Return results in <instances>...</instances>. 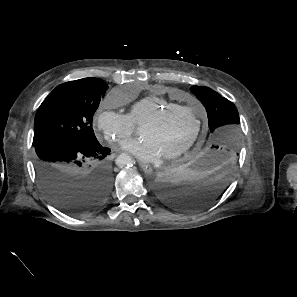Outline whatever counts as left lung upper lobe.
<instances>
[{
	"label": "left lung upper lobe",
	"instance_id": "obj_1",
	"mask_svg": "<svg viewBox=\"0 0 297 297\" xmlns=\"http://www.w3.org/2000/svg\"><path fill=\"white\" fill-rule=\"evenodd\" d=\"M191 91L205 106L210 129L209 150L217 149L232 158L238 156L240 118L235 105L208 87L193 86Z\"/></svg>",
	"mask_w": 297,
	"mask_h": 297
}]
</instances>
